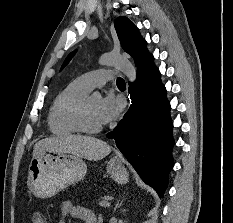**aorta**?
I'll list each match as a JSON object with an SVG mask.
<instances>
[{
	"label": "aorta",
	"instance_id": "obj_1",
	"mask_svg": "<svg viewBox=\"0 0 233 223\" xmlns=\"http://www.w3.org/2000/svg\"><path fill=\"white\" fill-rule=\"evenodd\" d=\"M99 64H101V66H115V68H119V70L127 76L129 82H135L136 80V70L134 66H132L129 60L123 58V56H101ZM92 98L100 100L102 96L99 92H94Z\"/></svg>",
	"mask_w": 233,
	"mask_h": 223
}]
</instances>
